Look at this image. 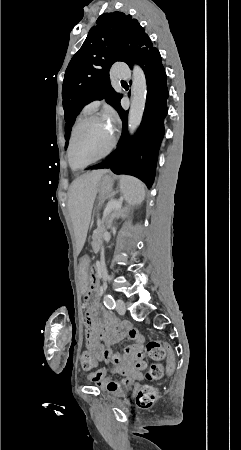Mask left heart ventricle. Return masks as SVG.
<instances>
[{
  "instance_id": "b2bd125f",
  "label": "left heart ventricle",
  "mask_w": 241,
  "mask_h": 450,
  "mask_svg": "<svg viewBox=\"0 0 241 450\" xmlns=\"http://www.w3.org/2000/svg\"><path fill=\"white\" fill-rule=\"evenodd\" d=\"M78 135L80 144L74 146L77 153L76 165H87L88 160H101L102 153L107 151V141L111 139V127L104 114L88 113L78 121Z\"/></svg>"
}]
</instances>
